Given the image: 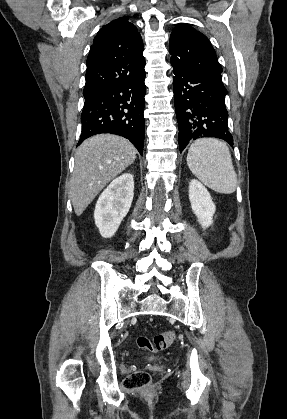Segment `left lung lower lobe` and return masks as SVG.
<instances>
[{
  "mask_svg": "<svg viewBox=\"0 0 287 419\" xmlns=\"http://www.w3.org/2000/svg\"><path fill=\"white\" fill-rule=\"evenodd\" d=\"M175 111L179 128V150L190 141L215 137L233 145L225 106L227 90L218 74L191 73L173 68Z\"/></svg>",
  "mask_w": 287,
  "mask_h": 419,
  "instance_id": "1",
  "label": "left lung lower lobe"
}]
</instances>
